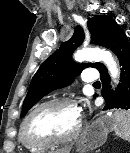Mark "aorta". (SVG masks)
Masks as SVG:
<instances>
[{
	"mask_svg": "<svg viewBox=\"0 0 130 153\" xmlns=\"http://www.w3.org/2000/svg\"><path fill=\"white\" fill-rule=\"evenodd\" d=\"M74 59L78 62L101 61L107 66L110 76L113 80L116 81V79H118L120 76V71L115 59L113 58L111 52L105 49L83 48L74 54Z\"/></svg>",
	"mask_w": 130,
	"mask_h": 153,
	"instance_id": "aorta-1",
	"label": "aorta"
}]
</instances>
